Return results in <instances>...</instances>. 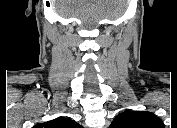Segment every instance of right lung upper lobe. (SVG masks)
<instances>
[{
    "instance_id": "cb5924a9",
    "label": "right lung upper lobe",
    "mask_w": 177,
    "mask_h": 128,
    "mask_svg": "<svg viewBox=\"0 0 177 128\" xmlns=\"http://www.w3.org/2000/svg\"><path fill=\"white\" fill-rule=\"evenodd\" d=\"M35 127L37 128H82V126L79 125L77 122L69 118H63V117H59L48 122L39 123Z\"/></svg>"
}]
</instances>
